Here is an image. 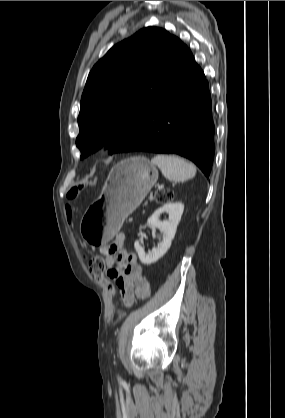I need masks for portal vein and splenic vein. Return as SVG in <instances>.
I'll return each mask as SVG.
<instances>
[{
	"instance_id": "1",
	"label": "portal vein and splenic vein",
	"mask_w": 285,
	"mask_h": 418,
	"mask_svg": "<svg viewBox=\"0 0 285 418\" xmlns=\"http://www.w3.org/2000/svg\"><path fill=\"white\" fill-rule=\"evenodd\" d=\"M163 188V185H158V189L161 190Z\"/></svg>"
}]
</instances>
